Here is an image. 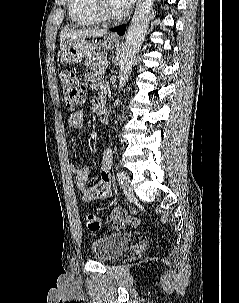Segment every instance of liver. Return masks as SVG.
Returning a JSON list of instances; mask_svg holds the SVG:
<instances>
[{
	"label": "liver",
	"mask_w": 239,
	"mask_h": 303,
	"mask_svg": "<svg viewBox=\"0 0 239 303\" xmlns=\"http://www.w3.org/2000/svg\"><path fill=\"white\" fill-rule=\"evenodd\" d=\"M107 31L103 29H83V30H76V29H64L61 34V43L65 44L77 39L82 38H91V37H101L105 36Z\"/></svg>",
	"instance_id": "obj_1"
}]
</instances>
